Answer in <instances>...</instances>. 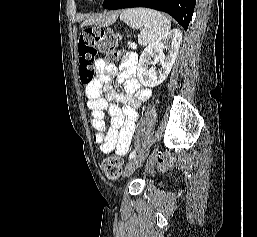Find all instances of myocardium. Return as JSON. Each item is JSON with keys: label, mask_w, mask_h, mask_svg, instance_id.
I'll return each mask as SVG.
<instances>
[{"label": "myocardium", "mask_w": 257, "mask_h": 237, "mask_svg": "<svg viewBox=\"0 0 257 237\" xmlns=\"http://www.w3.org/2000/svg\"><path fill=\"white\" fill-rule=\"evenodd\" d=\"M87 2L89 3H96V2H99V1H102V0H86Z\"/></svg>", "instance_id": "f54148a6"}]
</instances>
